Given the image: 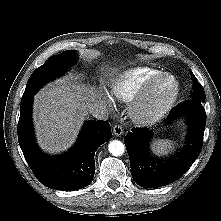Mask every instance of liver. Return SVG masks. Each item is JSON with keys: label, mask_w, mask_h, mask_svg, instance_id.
<instances>
[{"label": "liver", "mask_w": 221, "mask_h": 221, "mask_svg": "<svg viewBox=\"0 0 221 221\" xmlns=\"http://www.w3.org/2000/svg\"><path fill=\"white\" fill-rule=\"evenodd\" d=\"M93 89L67 78L49 83L34 96L33 121L37 142L50 153L67 150L75 142L87 111L100 103Z\"/></svg>", "instance_id": "6515ba94"}]
</instances>
